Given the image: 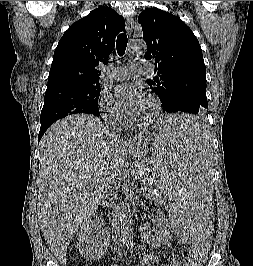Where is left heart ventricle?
<instances>
[{
    "label": "left heart ventricle",
    "mask_w": 253,
    "mask_h": 266,
    "mask_svg": "<svg viewBox=\"0 0 253 266\" xmlns=\"http://www.w3.org/2000/svg\"><path fill=\"white\" fill-rule=\"evenodd\" d=\"M152 112V104L148 98H146L143 107L141 109L140 114L138 115V119H145L148 117Z\"/></svg>",
    "instance_id": "b2bd125f"
}]
</instances>
